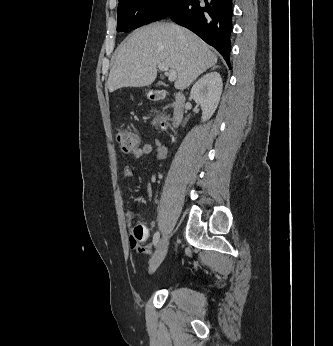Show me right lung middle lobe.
<instances>
[{
    "label": "right lung middle lobe",
    "mask_w": 333,
    "mask_h": 346,
    "mask_svg": "<svg viewBox=\"0 0 333 346\" xmlns=\"http://www.w3.org/2000/svg\"><path fill=\"white\" fill-rule=\"evenodd\" d=\"M181 1L119 0L117 31L129 32L152 21L164 19L168 17L171 10L177 7Z\"/></svg>",
    "instance_id": "dd1d6c3e"
}]
</instances>
